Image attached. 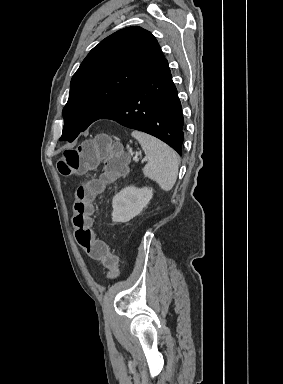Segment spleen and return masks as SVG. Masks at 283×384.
Instances as JSON below:
<instances>
[{"mask_svg": "<svg viewBox=\"0 0 283 384\" xmlns=\"http://www.w3.org/2000/svg\"><path fill=\"white\" fill-rule=\"evenodd\" d=\"M131 136L138 140L147 158H149L143 168L144 176L157 182L165 192H169L178 176V160L174 150L164 142H160L148 134H143V132H132Z\"/></svg>", "mask_w": 283, "mask_h": 384, "instance_id": "obj_1", "label": "spleen"}]
</instances>
